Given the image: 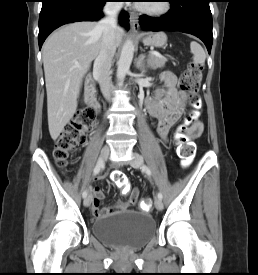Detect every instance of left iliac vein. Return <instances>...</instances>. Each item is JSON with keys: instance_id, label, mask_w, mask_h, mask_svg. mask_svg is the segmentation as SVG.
<instances>
[{"instance_id": "left-iliac-vein-1", "label": "left iliac vein", "mask_w": 258, "mask_h": 275, "mask_svg": "<svg viewBox=\"0 0 258 275\" xmlns=\"http://www.w3.org/2000/svg\"><path fill=\"white\" fill-rule=\"evenodd\" d=\"M130 165L136 169H139L141 168V166L143 165V157L137 153H134L133 154V159L129 162ZM155 207L158 209V210H162L163 209V203H162V200L157 198L155 200Z\"/></svg>"}]
</instances>
